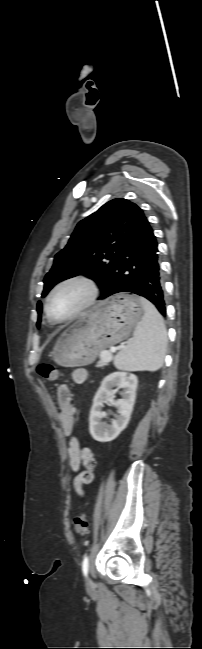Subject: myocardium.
Wrapping results in <instances>:
<instances>
[{
  "label": "myocardium",
  "instance_id": "1",
  "mask_svg": "<svg viewBox=\"0 0 202 649\" xmlns=\"http://www.w3.org/2000/svg\"><path fill=\"white\" fill-rule=\"evenodd\" d=\"M73 283H80L87 288L88 295L86 300L71 315L65 318L54 317L49 309L50 300L55 295V293L58 290H60L62 287ZM98 295H99V287L97 282L92 277L85 274H74V275L67 276L61 279L59 282H57L47 294L44 303L45 314L48 320L51 321L52 323H64V322L72 321L77 317H79L80 315H82L86 310H88L96 302Z\"/></svg>",
  "mask_w": 202,
  "mask_h": 649
}]
</instances>
